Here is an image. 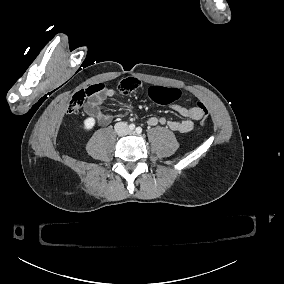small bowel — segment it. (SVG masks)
<instances>
[{
  "label": "small bowel",
  "mask_w": 284,
  "mask_h": 284,
  "mask_svg": "<svg viewBox=\"0 0 284 284\" xmlns=\"http://www.w3.org/2000/svg\"><path fill=\"white\" fill-rule=\"evenodd\" d=\"M102 95L105 97H112L114 95V91L104 87L99 96L90 101V109H95L102 103ZM172 109L175 113L185 118V120L166 122L164 118L158 119L156 117H150L147 120V125L149 127H154L158 124H167V127L174 132L189 133L194 130L195 122L203 118L204 111L207 108L204 103L200 102L191 108L181 105H173ZM97 116L102 123H107L110 120V115L100 110L97 112Z\"/></svg>",
  "instance_id": "c3829d8e"
}]
</instances>
